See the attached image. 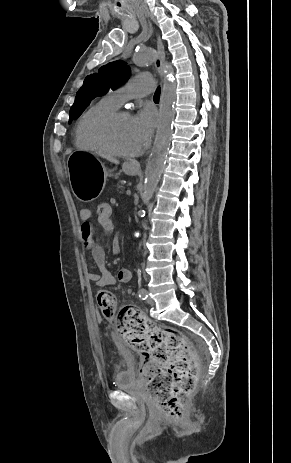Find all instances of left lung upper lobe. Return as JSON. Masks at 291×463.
Instances as JSON below:
<instances>
[{"instance_id":"5c2ea615","label":"left lung upper lobe","mask_w":291,"mask_h":463,"mask_svg":"<svg viewBox=\"0 0 291 463\" xmlns=\"http://www.w3.org/2000/svg\"><path fill=\"white\" fill-rule=\"evenodd\" d=\"M129 73L126 63L118 60L102 66L98 73L88 75L70 109V121L78 118L95 97L102 96L108 90L124 84L128 80Z\"/></svg>"}]
</instances>
